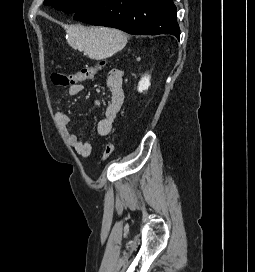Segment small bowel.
I'll return each instance as SVG.
<instances>
[{
    "label": "small bowel",
    "mask_w": 255,
    "mask_h": 272,
    "mask_svg": "<svg viewBox=\"0 0 255 272\" xmlns=\"http://www.w3.org/2000/svg\"><path fill=\"white\" fill-rule=\"evenodd\" d=\"M123 75L124 72L120 68L111 69L107 76L106 82L110 92V98L107 102L105 112L103 117L97 123V133L101 137H106L112 131L114 122L118 116V113L124 102V89H123ZM84 89L82 83H77L70 85L66 90V95L69 97L75 96ZM96 104H99L96 101ZM56 122L59 128L62 130L63 135L70 144V146L75 150V152L86 158L91 154V144L88 141L81 140L76 134H74L71 129V119L70 116L63 110H58L55 114Z\"/></svg>",
    "instance_id": "1"
}]
</instances>
